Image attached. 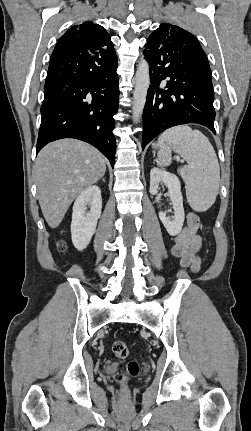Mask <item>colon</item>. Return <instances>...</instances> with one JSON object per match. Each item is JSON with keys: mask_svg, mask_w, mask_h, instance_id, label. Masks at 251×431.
Returning a JSON list of instances; mask_svg holds the SVG:
<instances>
[{"mask_svg": "<svg viewBox=\"0 0 251 431\" xmlns=\"http://www.w3.org/2000/svg\"><path fill=\"white\" fill-rule=\"evenodd\" d=\"M58 247L60 250H64L66 245L63 241H60L58 243ZM111 351L112 353L118 357V358H125L128 355V347L125 344V342L123 341H115L112 345H111ZM140 371V366L139 363L137 361H130L127 364L126 370L124 372H122L119 376H118V382L121 385V395L125 396L126 395V383L127 380L130 377H135L139 374Z\"/></svg>", "mask_w": 251, "mask_h": 431, "instance_id": "colon-1", "label": "colon"}]
</instances>
